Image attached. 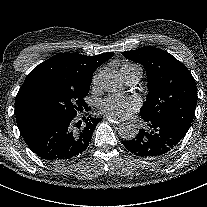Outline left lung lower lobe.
<instances>
[{
  "label": "left lung lower lobe",
  "mask_w": 207,
  "mask_h": 207,
  "mask_svg": "<svg viewBox=\"0 0 207 207\" xmlns=\"http://www.w3.org/2000/svg\"><path fill=\"white\" fill-rule=\"evenodd\" d=\"M145 128L132 140L123 141V145L140 157L154 158L171 151L186 135L175 121L169 119H144Z\"/></svg>",
  "instance_id": "left-lung-lower-lobe-1"
}]
</instances>
